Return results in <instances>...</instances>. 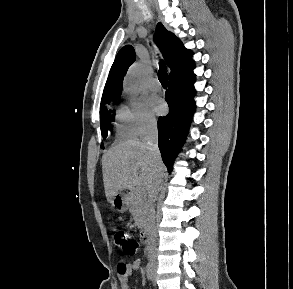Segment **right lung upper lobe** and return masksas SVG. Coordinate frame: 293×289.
I'll list each match as a JSON object with an SVG mask.
<instances>
[{
    "mask_svg": "<svg viewBox=\"0 0 293 289\" xmlns=\"http://www.w3.org/2000/svg\"><path fill=\"white\" fill-rule=\"evenodd\" d=\"M155 40L171 69L169 80H183L194 75L195 64L191 58L193 52L186 49L182 42L167 31L161 23H158L156 27ZM134 61L135 51L131 45L124 46L118 52L111 67L101 102L120 96L124 75Z\"/></svg>",
    "mask_w": 293,
    "mask_h": 289,
    "instance_id": "obj_1",
    "label": "right lung upper lobe"
}]
</instances>
